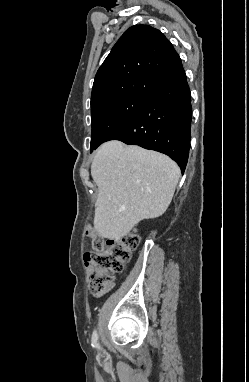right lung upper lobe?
Masks as SVG:
<instances>
[{
	"label": "right lung upper lobe",
	"mask_w": 249,
	"mask_h": 382,
	"mask_svg": "<svg viewBox=\"0 0 249 382\" xmlns=\"http://www.w3.org/2000/svg\"><path fill=\"white\" fill-rule=\"evenodd\" d=\"M184 72L163 33L134 25L117 41L95 76L91 110L126 96L150 98Z\"/></svg>",
	"instance_id": "obj_1"
}]
</instances>
